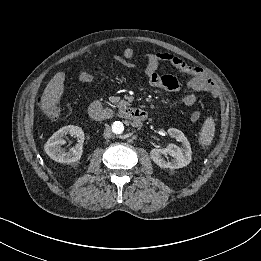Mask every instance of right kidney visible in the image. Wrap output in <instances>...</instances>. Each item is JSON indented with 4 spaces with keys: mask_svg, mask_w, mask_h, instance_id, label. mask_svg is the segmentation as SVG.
Returning a JSON list of instances; mask_svg holds the SVG:
<instances>
[{
    "mask_svg": "<svg viewBox=\"0 0 261 261\" xmlns=\"http://www.w3.org/2000/svg\"><path fill=\"white\" fill-rule=\"evenodd\" d=\"M66 135L75 136L79 139V144L71 148L69 151H63L61 146L65 144L63 137ZM84 141L83 130L74 125H68L56 131L46 142L44 150L47 155L59 163H74L80 160L82 156V144Z\"/></svg>",
    "mask_w": 261,
    "mask_h": 261,
    "instance_id": "ca27d5eb",
    "label": "right kidney"
}]
</instances>
